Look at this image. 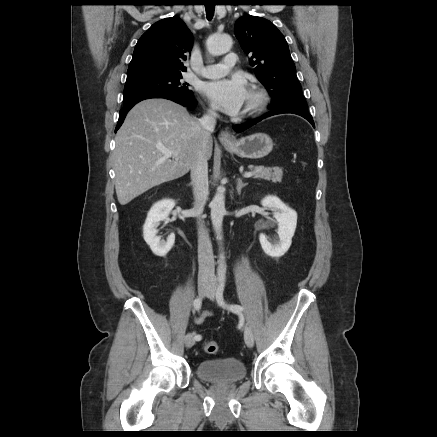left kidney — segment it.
Returning a JSON list of instances; mask_svg holds the SVG:
<instances>
[{
	"label": "left kidney",
	"mask_w": 437,
	"mask_h": 437,
	"mask_svg": "<svg viewBox=\"0 0 437 437\" xmlns=\"http://www.w3.org/2000/svg\"><path fill=\"white\" fill-rule=\"evenodd\" d=\"M262 206L274 211V218L278 224L279 240L270 242L264 234L259 235V241L264 252L271 257L283 256L291 246L292 237L297 225V213L286 206L276 196H266L261 201Z\"/></svg>",
	"instance_id": "left-kidney-1"
}]
</instances>
